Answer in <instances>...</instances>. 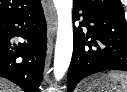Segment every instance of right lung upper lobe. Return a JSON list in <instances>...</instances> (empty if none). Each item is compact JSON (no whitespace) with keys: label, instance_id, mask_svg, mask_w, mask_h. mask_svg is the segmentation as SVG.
I'll return each mask as SVG.
<instances>
[{"label":"right lung upper lobe","instance_id":"1","mask_svg":"<svg viewBox=\"0 0 127 92\" xmlns=\"http://www.w3.org/2000/svg\"><path fill=\"white\" fill-rule=\"evenodd\" d=\"M40 0H0V21L35 9Z\"/></svg>","mask_w":127,"mask_h":92}]
</instances>
